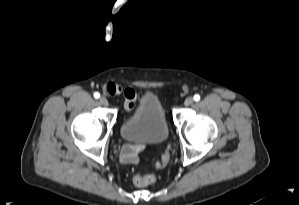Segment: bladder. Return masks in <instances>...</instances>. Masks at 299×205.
Returning a JSON list of instances; mask_svg holds the SVG:
<instances>
[{
	"label": "bladder",
	"instance_id": "obj_1",
	"mask_svg": "<svg viewBox=\"0 0 299 205\" xmlns=\"http://www.w3.org/2000/svg\"><path fill=\"white\" fill-rule=\"evenodd\" d=\"M119 134L123 140L140 144L166 141L170 128L160 99L153 93L142 95L135 109L123 118Z\"/></svg>",
	"mask_w": 299,
	"mask_h": 205
}]
</instances>
